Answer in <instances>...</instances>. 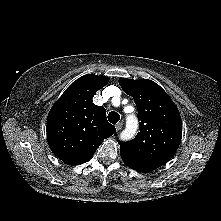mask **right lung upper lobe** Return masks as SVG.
Listing matches in <instances>:
<instances>
[{
    "mask_svg": "<svg viewBox=\"0 0 221 221\" xmlns=\"http://www.w3.org/2000/svg\"><path fill=\"white\" fill-rule=\"evenodd\" d=\"M108 77L88 74L77 79L62 94L47 117V139L52 152L63 162H87L104 139L116 132L106 110L92 102Z\"/></svg>",
    "mask_w": 221,
    "mask_h": 221,
    "instance_id": "cb5924a9",
    "label": "right lung upper lobe"
}]
</instances>
